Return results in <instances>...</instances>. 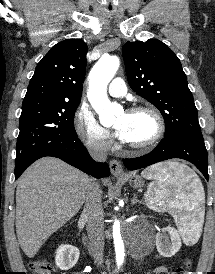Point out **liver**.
Wrapping results in <instances>:
<instances>
[{"label": "liver", "mask_w": 215, "mask_h": 274, "mask_svg": "<svg viewBox=\"0 0 215 274\" xmlns=\"http://www.w3.org/2000/svg\"><path fill=\"white\" fill-rule=\"evenodd\" d=\"M90 178L52 157L33 163L18 179L16 233L24 253L33 258L43 243L82 207Z\"/></svg>", "instance_id": "liver-1"}]
</instances>
